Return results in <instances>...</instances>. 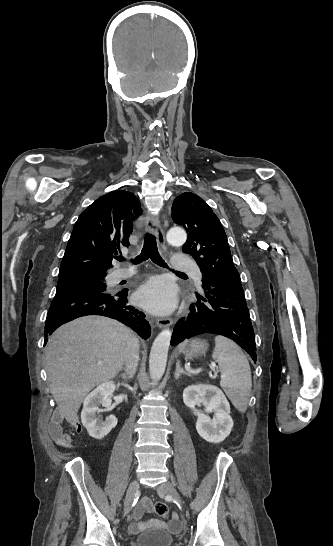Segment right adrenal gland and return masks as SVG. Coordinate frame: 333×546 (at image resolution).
Returning a JSON list of instances; mask_svg holds the SVG:
<instances>
[{
  "label": "right adrenal gland",
  "mask_w": 333,
  "mask_h": 546,
  "mask_svg": "<svg viewBox=\"0 0 333 546\" xmlns=\"http://www.w3.org/2000/svg\"><path fill=\"white\" fill-rule=\"evenodd\" d=\"M120 377L123 379L124 382H127L130 379V377L127 376L125 373L120 374Z\"/></svg>",
  "instance_id": "2a0ac1e0"
}]
</instances>
